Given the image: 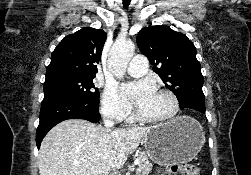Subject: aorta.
I'll return each instance as SVG.
<instances>
[{
    "mask_svg": "<svg viewBox=\"0 0 251 175\" xmlns=\"http://www.w3.org/2000/svg\"><path fill=\"white\" fill-rule=\"evenodd\" d=\"M135 46L133 42H115L108 56L107 64L110 74L122 80L125 76L127 66L133 58Z\"/></svg>",
    "mask_w": 251,
    "mask_h": 175,
    "instance_id": "aorta-1",
    "label": "aorta"
}]
</instances>
